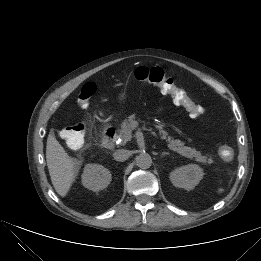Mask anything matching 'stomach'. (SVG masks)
<instances>
[{"label":"stomach","mask_w":261,"mask_h":261,"mask_svg":"<svg viewBox=\"0 0 261 261\" xmlns=\"http://www.w3.org/2000/svg\"><path fill=\"white\" fill-rule=\"evenodd\" d=\"M126 98H127V96H126L125 93H120V94L118 95V100H119L120 102H125Z\"/></svg>","instance_id":"obj_1"}]
</instances>
